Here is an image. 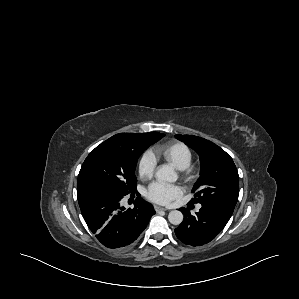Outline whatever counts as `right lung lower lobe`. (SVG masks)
Segmentation results:
<instances>
[{
    "label": "right lung lower lobe",
    "instance_id": "1",
    "mask_svg": "<svg viewBox=\"0 0 299 299\" xmlns=\"http://www.w3.org/2000/svg\"><path fill=\"white\" fill-rule=\"evenodd\" d=\"M83 218L96 238L106 247L132 246L155 214L152 205L138 196L134 208L121 207L125 196L108 188L86 184L77 188Z\"/></svg>",
    "mask_w": 299,
    "mask_h": 299
}]
</instances>
